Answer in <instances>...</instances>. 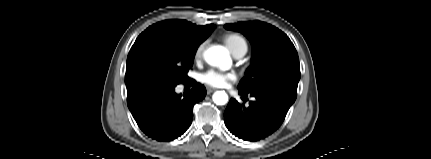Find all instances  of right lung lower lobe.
I'll return each instance as SVG.
<instances>
[{
	"label": "right lung lower lobe",
	"instance_id": "obj_1",
	"mask_svg": "<svg viewBox=\"0 0 431 159\" xmlns=\"http://www.w3.org/2000/svg\"><path fill=\"white\" fill-rule=\"evenodd\" d=\"M190 93L176 94L177 83L154 81L127 91L128 107L140 127L150 138L168 142L185 133L193 119V106L204 99L203 85L190 81Z\"/></svg>",
	"mask_w": 431,
	"mask_h": 159
}]
</instances>
